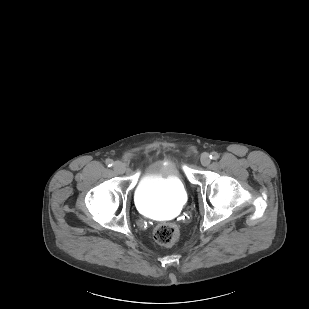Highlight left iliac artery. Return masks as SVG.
<instances>
[{"label": "left iliac artery", "instance_id": "left-iliac-artery-1", "mask_svg": "<svg viewBox=\"0 0 309 309\" xmlns=\"http://www.w3.org/2000/svg\"><path fill=\"white\" fill-rule=\"evenodd\" d=\"M210 158L212 160H217L219 158V154L217 152H212Z\"/></svg>", "mask_w": 309, "mask_h": 309}]
</instances>
